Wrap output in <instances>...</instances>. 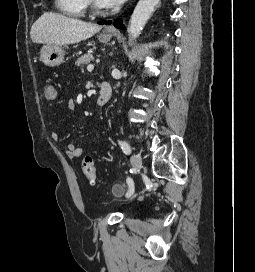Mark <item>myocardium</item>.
<instances>
[{"label": "myocardium", "mask_w": 255, "mask_h": 272, "mask_svg": "<svg viewBox=\"0 0 255 272\" xmlns=\"http://www.w3.org/2000/svg\"><path fill=\"white\" fill-rule=\"evenodd\" d=\"M86 2L94 14L102 13V9L100 7V4L96 0H86Z\"/></svg>", "instance_id": "f54148a6"}]
</instances>
